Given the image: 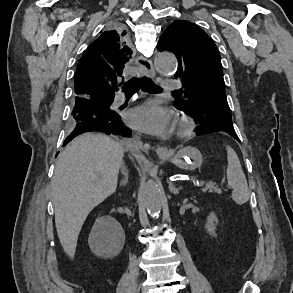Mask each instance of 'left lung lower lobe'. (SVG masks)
<instances>
[{"label": "left lung lower lobe", "mask_w": 293, "mask_h": 293, "mask_svg": "<svg viewBox=\"0 0 293 293\" xmlns=\"http://www.w3.org/2000/svg\"><path fill=\"white\" fill-rule=\"evenodd\" d=\"M212 131H224L240 142V139L238 138L233 125H226V124L204 125L202 123H199V126L195 130L197 135L206 134Z\"/></svg>", "instance_id": "0a47b994"}]
</instances>
